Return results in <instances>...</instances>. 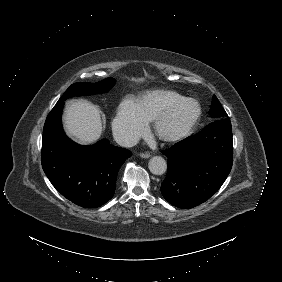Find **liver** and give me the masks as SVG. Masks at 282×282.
<instances>
[{
	"label": "liver",
	"instance_id": "obj_1",
	"mask_svg": "<svg viewBox=\"0 0 282 282\" xmlns=\"http://www.w3.org/2000/svg\"><path fill=\"white\" fill-rule=\"evenodd\" d=\"M63 120L67 134L80 143H92L101 136L100 110L88 101L70 103L66 107Z\"/></svg>",
	"mask_w": 282,
	"mask_h": 282
}]
</instances>
